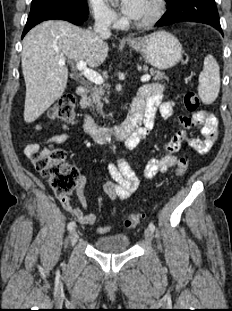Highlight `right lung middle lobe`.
<instances>
[{
	"instance_id": "1",
	"label": "right lung middle lobe",
	"mask_w": 232,
	"mask_h": 311,
	"mask_svg": "<svg viewBox=\"0 0 232 311\" xmlns=\"http://www.w3.org/2000/svg\"><path fill=\"white\" fill-rule=\"evenodd\" d=\"M49 5L70 7L85 14L89 13L87 0H32L31 9Z\"/></svg>"
}]
</instances>
